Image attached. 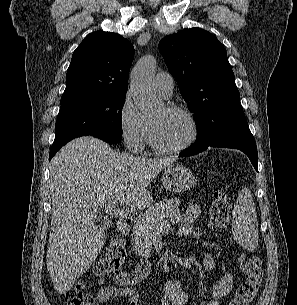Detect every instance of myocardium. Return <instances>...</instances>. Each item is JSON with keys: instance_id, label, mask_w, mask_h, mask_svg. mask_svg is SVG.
I'll return each instance as SVG.
<instances>
[{"instance_id": "obj_1", "label": "myocardium", "mask_w": 297, "mask_h": 305, "mask_svg": "<svg viewBox=\"0 0 297 305\" xmlns=\"http://www.w3.org/2000/svg\"><path fill=\"white\" fill-rule=\"evenodd\" d=\"M165 108L167 111L171 113L181 114L188 119L191 125V135L186 142H184L179 146L172 148L163 147L156 141L153 126L151 123H149V144L152 147V149L159 154L162 155L178 154L190 148L197 140L199 134L198 122L194 114L184 107L178 105H168Z\"/></svg>"}]
</instances>
